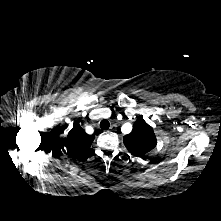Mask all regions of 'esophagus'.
<instances>
[{
    "label": "esophagus",
    "mask_w": 221,
    "mask_h": 221,
    "mask_svg": "<svg viewBox=\"0 0 221 221\" xmlns=\"http://www.w3.org/2000/svg\"><path fill=\"white\" fill-rule=\"evenodd\" d=\"M114 129H115V127H114V126H112V127H111V130H114Z\"/></svg>",
    "instance_id": "34e87169"
}]
</instances>
